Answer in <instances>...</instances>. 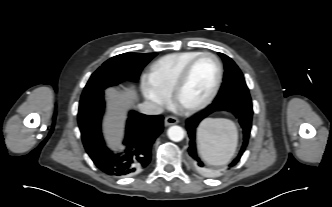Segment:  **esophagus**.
<instances>
[{"label": "esophagus", "instance_id": "1", "mask_svg": "<svg viewBox=\"0 0 332 207\" xmlns=\"http://www.w3.org/2000/svg\"><path fill=\"white\" fill-rule=\"evenodd\" d=\"M179 120L174 116H167L164 120L165 126L177 124Z\"/></svg>", "mask_w": 332, "mask_h": 207}]
</instances>
